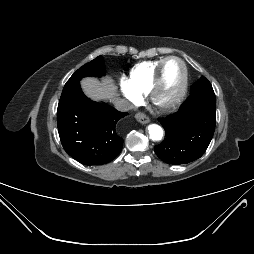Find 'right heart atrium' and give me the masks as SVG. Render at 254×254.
I'll return each instance as SVG.
<instances>
[{"instance_id":"right-heart-atrium-1","label":"right heart atrium","mask_w":254,"mask_h":254,"mask_svg":"<svg viewBox=\"0 0 254 254\" xmlns=\"http://www.w3.org/2000/svg\"><path fill=\"white\" fill-rule=\"evenodd\" d=\"M120 88L126 99L131 102L140 100L141 95L131 86L130 82L126 78L120 79Z\"/></svg>"}]
</instances>
